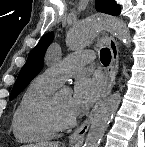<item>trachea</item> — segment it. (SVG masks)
Returning a JSON list of instances; mask_svg holds the SVG:
<instances>
[{"label": "trachea", "instance_id": "trachea-1", "mask_svg": "<svg viewBox=\"0 0 145 147\" xmlns=\"http://www.w3.org/2000/svg\"><path fill=\"white\" fill-rule=\"evenodd\" d=\"M101 62L107 66L111 61V52L108 48H103L100 51Z\"/></svg>", "mask_w": 145, "mask_h": 147}]
</instances>
